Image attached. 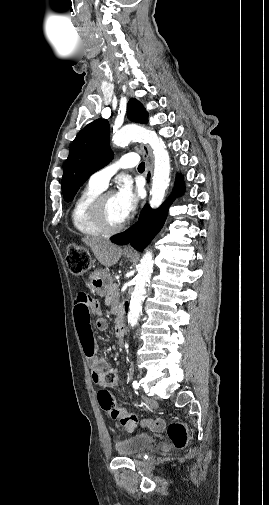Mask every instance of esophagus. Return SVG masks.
<instances>
[{
  "mask_svg": "<svg viewBox=\"0 0 269 505\" xmlns=\"http://www.w3.org/2000/svg\"><path fill=\"white\" fill-rule=\"evenodd\" d=\"M140 150H141V153L143 155V158L145 159L146 161V164H147V170H149L150 172H152L153 170V155H152V152L149 148V146L145 145V144H141L140 145ZM125 252L127 253H133L134 252V249L132 248V246L130 244H127L124 249H123Z\"/></svg>",
  "mask_w": 269,
  "mask_h": 505,
  "instance_id": "34e87169",
  "label": "esophagus"
}]
</instances>
